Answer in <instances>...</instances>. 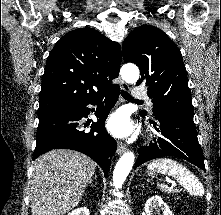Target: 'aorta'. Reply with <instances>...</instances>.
<instances>
[{"label":"aorta","mask_w":221,"mask_h":215,"mask_svg":"<svg viewBox=\"0 0 221 215\" xmlns=\"http://www.w3.org/2000/svg\"><path fill=\"white\" fill-rule=\"evenodd\" d=\"M121 76L127 83L134 84L138 81L140 73L139 69L134 64H125L121 68ZM135 160L133 152H126L118 160L113 172V185L116 189L122 187L129 172L131 171Z\"/></svg>","instance_id":"obj_1"}]
</instances>
